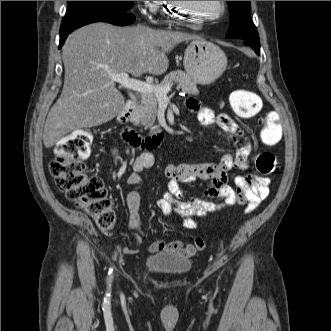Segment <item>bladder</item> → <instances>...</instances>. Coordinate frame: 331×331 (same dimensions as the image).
<instances>
[{
	"mask_svg": "<svg viewBox=\"0 0 331 331\" xmlns=\"http://www.w3.org/2000/svg\"><path fill=\"white\" fill-rule=\"evenodd\" d=\"M144 266L155 274L179 276L190 270L191 260L173 252H158L147 256Z\"/></svg>",
	"mask_w": 331,
	"mask_h": 331,
	"instance_id": "1",
	"label": "bladder"
}]
</instances>
